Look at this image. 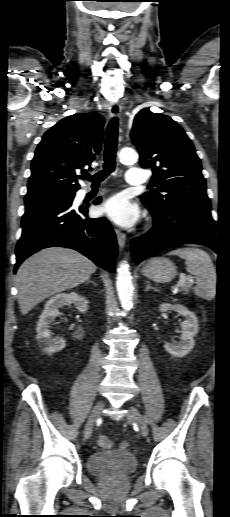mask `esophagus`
Returning a JSON list of instances; mask_svg holds the SVG:
<instances>
[{
    "label": "esophagus",
    "instance_id": "esophagus-1",
    "mask_svg": "<svg viewBox=\"0 0 230 517\" xmlns=\"http://www.w3.org/2000/svg\"><path fill=\"white\" fill-rule=\"evenodd\" d=\"M109 115L110 117H120L121 115V106L119 103H113L110 107H109ZM115 234H116V237H117V242H118V245L120 246V248H124L125 244H126V235L121 232L119 229H115Z\"/></svg>",
    "mask_w": 230,
    "mask_h": 517
}]
</instances>
